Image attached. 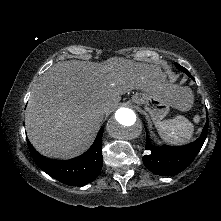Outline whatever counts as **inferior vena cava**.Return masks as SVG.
<instances>
[{
  "mask_svg": "<svg viewBox=\"0 0 221 221\" xmlns=\"http://www.w3.org/2000/svg\"><path fill=\"white\" fill-rule=\"evenodd\" d=\"M107 112V108L106 107H102L101 109H99L98 113L100 115H104Z\"/></svg>",
  "mask_w": 221,
  "mask_h": 221,
  "instance_id": "1",
  "label": "inferior vena cava"
}]
</instances>
